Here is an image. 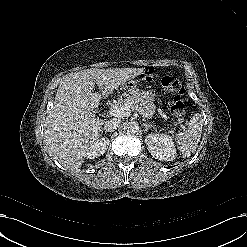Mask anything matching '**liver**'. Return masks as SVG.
<instances>
[{
    "mask_svg": "<svg viewBox=\"0 0 247 247\" xmlns=\"http://www.w3.org/2000/svg\"><path fill=\"white\" fill-rule=\"evenodd\" d=\"M143 70L92 68L63 78L44 123V141L49 154L66 168H80L85 151L98 139L104 124V120L91 111L98 108L103 97L112 94ZM95 84L102 93L93 92Z\"/></svg>",
    "mask_w": 247,
    "mask_h": 247,
    "instance_id": "6515ba94",
    "label": "liver"
}]
</instances>
